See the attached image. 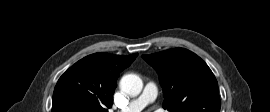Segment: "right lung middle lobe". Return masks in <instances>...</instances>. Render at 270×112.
<instances>
[{
	"label": "right lung middle lobe",
	"instance_id": "dd1d6c3e",
	"mask_svg": "<svg viewBox=\"0 0 270 112\" xmlns=\"http://www.w3.org/2000/svg\"><path fill=\"white\" fill-rule=\"evenodd\" d=\"M71 111H73V112H77V111H79V110H71Z\"/></svg>",
	"mask_w": 270,
	"mask_h": 112
}]
</instances>
